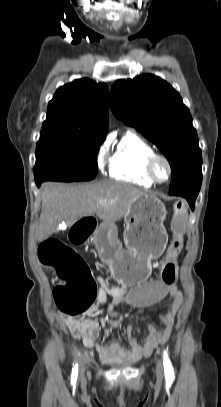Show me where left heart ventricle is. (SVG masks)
<instances>
[{
  "mask_svg": "<svg viewBox=\"0 0 221 407\" xmlns=\"http://www.w3.org/2000/svg\"><path fill=\"white\" fill-rule=\"evenodd\" d=\"M155 173L159 180H165L168 176V168L163 161H158L155 166Z\"/></svg>",
  "mask_w": 221,
  "mask_h": 407,
  "instance_id": "left-heart-ventricle-1",
  "label": "left heart ventricle"
}]
</instances>
